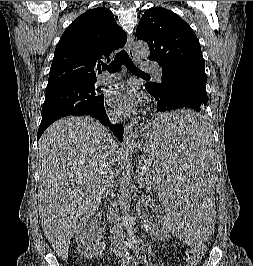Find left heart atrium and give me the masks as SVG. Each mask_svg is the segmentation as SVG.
I'll return each mask as SVG.
<instances>
[{"label":"left heart atrium","mask_w":253,"mask_h":266,"mask_svg":"<svg viewBox=\"0 0 253 266\" xmlns=\"http://www.w3.org/2000/svg\"><path fill=\"white\" fill-rule=\"evenodd\" d=\"M111 106L125 116H134L142 112L145 96L131 82L119 83L108 93Z\"/></svg>","instance_id":"left-heart-atrium-1"}]
</instances>
